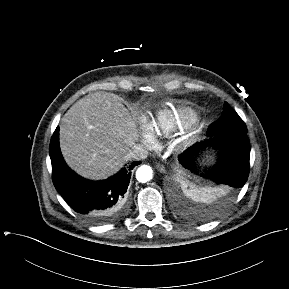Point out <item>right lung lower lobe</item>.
<instances>
[{
	"mask_svg": "<svg viewBox=\"0 0 289 289\" xmlns=\"http://www.w3.org/2000/svg\"><path fill=\"white\" fill-rule=\"evenodd\" d=\"M49 154L56 190L86 221L105 224L116 221L125 213L130 170L139 165L140 161L133 162L128 169L123 168L103 181H90L79 177L63 160L59 148V127L52 136Z\"/></svg>",
	"mask_w": 289,
	"mask_h": 289,
	"instance_id": "right-lung-lower-lobe-1",
	"label": "right lung lower lobe"
}]
</instances>
